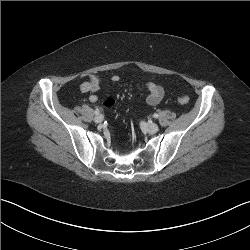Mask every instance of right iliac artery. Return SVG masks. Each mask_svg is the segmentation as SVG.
Instances as JSON below:
<instances>
[{
    "instance_id": "obj_1",
    "label": "right iliac artery",
    "mask_w": 250,
    "mask_h": 250,
    "mask_svg": "<svg viewBox=\"0 0 250 250\" xmlns=\"http://www.w3.org/2000/svg\"><path fill=\"white\" fill-rule=\"evenodd\" d=\"M99 109H96L95 111H94V113L97 115V114H99Z\"/></svg>"
}]
</instances>
